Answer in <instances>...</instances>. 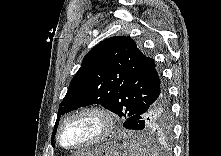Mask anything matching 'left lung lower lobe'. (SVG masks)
<instances>
[{
    "label": "left lung lower lobe",
    "mask_w": 221,
    "mask_h": 156,
    "mask_svg": "<svg viewBox=\"0 0 221 156\" xmlns=\"http://www.w3.org/2000/svg\"><path fill=\"white\" fill-rule=\"evenodd\" d=\"M123 127L131 130L153 131L160 134L172 131V114L168 89L163 82L160 95L148 108L129 117Z\"/></svg>",
    "instance_id": "1"
}]
</instances>
